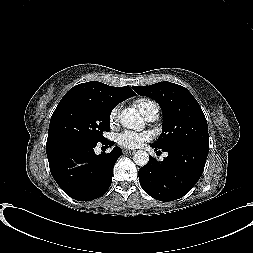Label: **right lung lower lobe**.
<instances>
[{
    "mask_svg": "<svg viewBox=\"0 0 253 253\" xmlns=\"http://www.w3.org/2000/svg\"><path fill=\"white\" fill-rule=\"evenodd\" d=\"M113 146L114 142H101ZM97 143L83 140H68L46 146L51 174L60 188L78 201H91L107 192L112 183L113 167L120 147L110 153L96 155Z\"/></svg>",
    "mask_w": 253,
    "mask_h": 253,
    "instance_id": "1",
    "label": "right lung lower lobe"
}]
</instances>
